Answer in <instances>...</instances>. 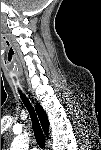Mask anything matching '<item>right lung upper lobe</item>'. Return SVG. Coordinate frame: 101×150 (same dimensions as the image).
I'll use <instances>...</instances> for the list:
<instances>
[{
    "label": "right lung upper lobe",
    "instance_id": "cb5924a9",
    "mask_svg": "<svg viewBox=\"0 0 101 150\" xmlns=\"http://www.w3.org/2000/svg\"><path fill=\"white\" fill-rule=\"evenodd\" d=\"M35 108H36V112L38 114L40 123L42 125V128L44 130V133L46 136H48V131H49L48 117H47L45 111L40 106V104H36Z\"/></svg>",
    "mask_w": 101,
    "mask_h": 150
}]
</instances>
